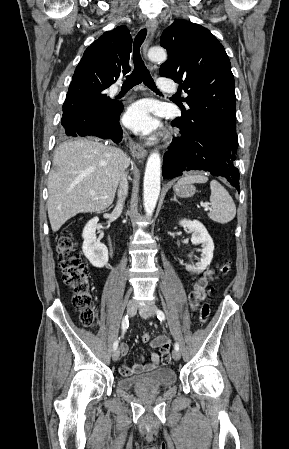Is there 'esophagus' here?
Masks as SVG:
<instances>
[{
	"instance_id": "34e87169",
	"label": "esophagus",
	"mask_w": 289,
	"mask_h": 449,
	"mask_svg": "<svg viewBox=\"0 0 289 449\" xmlns=\"http://www.w3.org/2000/svg\"><path fill=\"white\" fill-rule=\"evenodd\" d=\"M146 27L148 29L149 37L143 46V53L145 56H146V52L148 50L150 40H151L154 32L157 29V22L153 19H150L146 22ZM129 148H130L131 152L139 158H144L147 155V150L140 143L132 141L129 144Z\"/></svg>"
}]
</instances>
